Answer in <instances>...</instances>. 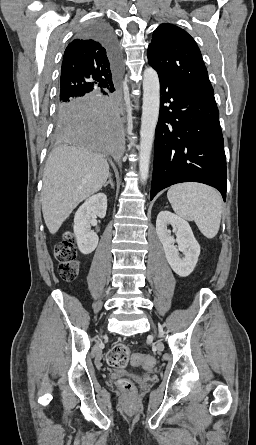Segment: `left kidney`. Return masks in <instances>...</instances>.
I'll list each match as a JSON object with an SVG mask.
<instances>
[{"instance_id": "obj_1", "label": "left kidney", "mask_w": 256, "mask_h": 445, "mask_svg": "<svg viewBox=\"0 0 256 445\" xmlns=\"http://www.w3.org/2000/svg\"><path fill=\"white\" fill-rule=\"evenodd\" d=\"M168 225L173 227L176 239L171 236ZM156 233L173 271L181 277L190 275L198 261L200 245L189 223L169 211H161L156 220ZM175 242L178 243V247L174 245ZM179 251L183 253V257L179 256Z\"/></svg>"}]
</instances>
